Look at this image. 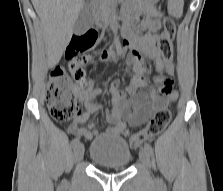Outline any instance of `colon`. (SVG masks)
Returning a JSON list of instances; mask_svg holds the SVG:
<instances>
[{"label":"colon","instance_id":"5ec220e1","mask_svg":"<svg viewBox=\"0 0 223 191\" xmlns=\"http://www.w3.org/2000/svg\"><path fill=\"white\" fill-rule=\"evenodd\" d=\"M176 32V25L172 18L164 19V31L158 38V51L163 57V72L173 73L176 59L172 56V39ZM96 31H88L72 38L65 50V57L70 59V74L62 67L56 68L50 77L47 89V105L52 118L59 122H65L78 114L75 84H84L87 81L85 65L88 58L84 52L92 48L97 40ZM124 46L127 47L125 41ZM168 77V74H165ZM146 77H141L145 82ZM170 111L167 108L158 109L149 123L139 132L129 136L130 146L134 149L140 148L142 144L157 136L170 120Z\"/></svg>","mask_w":223,"mask_h":191}]
</instances>
